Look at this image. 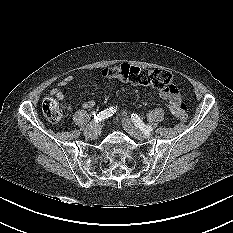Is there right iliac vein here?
<instances>
[{
    "label": "right iliac vein",
    "instance_id": "1",
    "mask_svg": "<svg viewBox=\"0 0 233 233\" xmlns=\"http://www.w3.org/2000/svg\"><path fill=\"white\" fill-rule=\"evenodd\" d=\"M100 127L101 126L99 124H94L84 131V135L86 137L94 138L100 133Z\"/></svg>",
    "mask_w": 233,
    "mask_h": 233
}]
</instances>
